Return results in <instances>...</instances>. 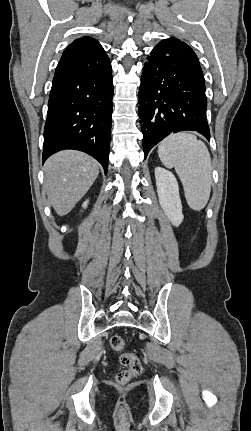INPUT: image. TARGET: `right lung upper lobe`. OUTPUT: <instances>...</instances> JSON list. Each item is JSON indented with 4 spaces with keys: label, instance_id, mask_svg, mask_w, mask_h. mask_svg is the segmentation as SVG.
<instances>
[{
    "label": "right lung upper lobe",
    "instance_id": "cb5924a9",
    "mask_svg": "<svg viewBox=\"0 0 251 431\" xmlns=\"http://www.w3.org/2000/svg\"><path fill=\"white\" fill-rule=\"evenodd\" d=\"M86 46H100L98 41H96L93 38L90 37H83L76 39L73 43H71L66 50H75V49H81Z\"/></svg>",
    "mask_w": 251,
    "mask_h": 431
}]
</instances>
